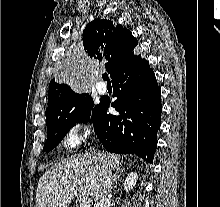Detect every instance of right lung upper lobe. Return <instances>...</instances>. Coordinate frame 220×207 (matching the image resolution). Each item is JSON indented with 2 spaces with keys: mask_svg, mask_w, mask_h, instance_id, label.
Returning a JSON list of instances; mask_svg holds the SVG:
<instances>
[{
  "mask_svg": "<svg viewBox=\"0 0 220 207\" xmlns=\"http://www.w3.org/2000/svg\"><path fill=\"white\" fill-rule=\"evenodd\" d=\"M137 44V39L126 27L110 20L95 19L83 32L85 52L90 58L104 62L111 78L124 62L135 55L134 48ZM75 94L70 85L52 79L49 84L46 116Z\"/></svg>",
  "mask_w": 220,
  "mask_h": 207,
  "instance_id": "1",
  "label": "right lung upper lobe"
}]
</instances>
